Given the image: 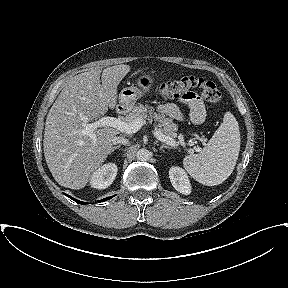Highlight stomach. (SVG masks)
<instances>
[{"label":"stomach","instance_id":"0dacf381","mask_svg":"<svg viewBox=\"0 0 288 288\" xmlns=\"http://www.w3.org/2000/svg\"><path fill=\"white\" fill-rule=\"evenodd\" d=\"M137 86L126 87L119 94L118 108L125 112L132 110L136 101L147 92L153 83V77L150 74H144L137 78Z\"/></svg>","mask_w":288,"mask_h":288}]
</instances>
